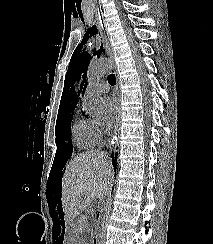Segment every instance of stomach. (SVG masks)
I'll list each match as a JSON object with an SVG mask.
<instances>
[{
	"label": "stomach",
	"instance_id": "stomach-1",
	"mask_svg": "<svg viewBox=\"0 0 213 244\" xmlns=\"http://www.w3.org/2000/svg\"><path fill=\"white\" fill-rule=\"evenodd\" d=\"M76 221H67L65 223V228L67 230L65 244H72V239H79L80 229H78V226Z\"/></svg>",
	"mask_w": 213,
	"mask_h": 244
}]
</instances>
